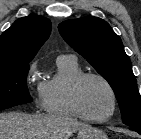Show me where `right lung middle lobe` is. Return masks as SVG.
<instances>
[{"label": "right lung middle lobe", "mask_w": 141, "mask_h": 139, "mask_svg": "<svg viewBox=\"0 0 141 139\" xmlns=\"http://www.w3.org/2000/svg\"><path fill=\"white\" fill-rule=\"evenodd\" d=\"M29 64L0 65V110L32 102L27 88Z\"/></svg>", "instance_id": "obj_1"}]
</instances>
